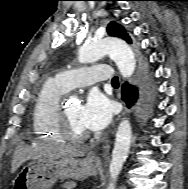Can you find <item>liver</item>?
Wrapping results in <instances>:
<instances>
[{"instance_id": "liver-1", "label": "liver", "mask_w": 188, "mask_h": 189, "mask_svg": "<svg viewBox=\"0 0 188 189\" xmlns=\"http://www.w3.org/2000/svg\"><path fill=\"white\" fill-rule=\"evenodd\" d=\"M84 154L85 152L83 150L64 144H44L36 147L20 144L16 147L13 155L11 172L14 173L29 159L53 160L63 157H79Z\"/></svg>"}]
</instances>
